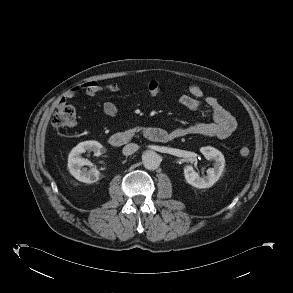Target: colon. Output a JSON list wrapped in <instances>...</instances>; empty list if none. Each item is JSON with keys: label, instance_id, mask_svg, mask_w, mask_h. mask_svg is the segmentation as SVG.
I'll list each match as a JSON object with an SVG mask.
<instances>
[{"label": "colon", "instance_id": "1", "mask_svg": "<svg viewBox=\"0 0 293 293\" xmlns=\"http://www.w3.org/2000/svg\"><path fill=\"white\" fill-rule=\"evenodd\" d=\"M75 120V110L72 106L66 103H58L53 117L52 124L56 129L67 127L73 124ZM239 154L243 158H247L250 155V150L247 147H242Z\"/></svg>", "mask_w": 293, "mask_h": 293}]
</instances>
